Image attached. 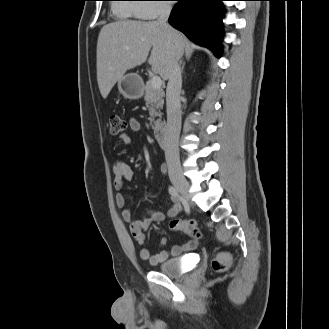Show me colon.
I'll list each match as a JSON object with an SVG mask.
<instances>
[{"label": "colon", "mask_w": 329, "mask_h": 329, "mask_svg": "<svg viewBox=\"0 0 329 329\" xmlns=\"http://www.w3.org/2000/svg\"><path fill=\"white\" fill-rule=\"evenodd\" d=\"M110 133L112 135H118L125 131L126 122L119 115H111L109 119ZM169 227L174 231H181L188 236L199 239L202 236L201 230L198 227L195 220H180L172 219L169 223ZM211 266L216 272H225L231 266V256L227 252H221L212 260Z\"/></svg>", "instance_id": "1"}]
</instances>
